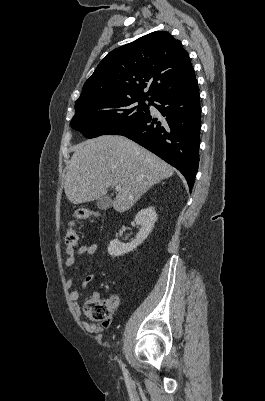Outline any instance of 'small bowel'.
<instances>
[{
	"mask_svg": "<svg viewBox=\"0 0 265 401\" xmlns=\"http://www.w3.org/2000/svg\"><path fill=\"white\" fill-rule=\"evenodd\" d=\"M98 247L99 246H98L97 243H92V244H88V245H86V244L80 245L77 248L75 247V248H73L71 250H69V249H67L65 247V250H66V253H67V257H66V259L64 261V265L66 267H72L78 257H80L82 255L92 256V255H94L96 253V251L98 250ZM94 279H95V275H93V274L87 275L83 279L80 289H74V290H72L70 292V295H69L70 296V300L72 301L73 306H74V310H75L76 314H78V315L80 314V307H79V303L78 302H79V299L81 297V292ZM73 284H74V278L71 277V278H69L67 280L66 286H67V288L70 289V288H72ZM93 298H99V295L95 293V294H93ZM110 322L111 321L108 320L107 322L104 323V326H108L110 324ZM83 326L88 332H91V333L102 332V328L98 327L95 324H90V323L84 322Z\"/></svg>",
	"mask_w": 265,
	"mask_h": 401,
	"instance_id": "small-bowel-1",
	"label": "small bowel"
}]
</instances>
